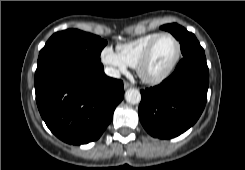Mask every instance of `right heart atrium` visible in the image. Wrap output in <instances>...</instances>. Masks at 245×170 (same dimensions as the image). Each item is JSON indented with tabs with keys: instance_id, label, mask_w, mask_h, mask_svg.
<instances>
[{
	"instance_id": "right-heart-atrium-1",
	"label": "right heart atrium",
	"mask_w": 245,
	"mask_h": 170,
	"mask_svg": "<svg viewBox=\"0 0 245 170\" xmlns=\"http://www.w3.org/2000/svg\"><path fill=\"white\" fill-rule=\"evenodd\" d=\"M101 60L108 67L110 75H117L119 72L126 70L127 64L111 47H105L101 52Z\"/></svg>"
}]
</instances>
